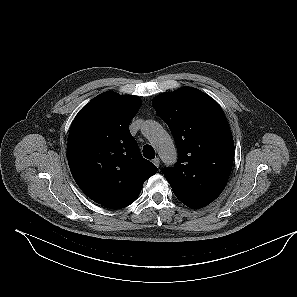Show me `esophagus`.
I'll return each mask as SVG.
<instances>
[{"label": "esophagus", "instance_id": "34e87169", "mask_svg": "<svg viewBox=\"0 0 297 297\" xmlns=\"http://www.w3.org/2000/svg\"><path fill=\"white\" fill-rule=\"evenodd\" d=\"M152 162H153V164H154L156 167H159V165H160V159H159V158H155Z\"/></svg>", "mask_w": 297, "mask_h": 297}]
</instances>
